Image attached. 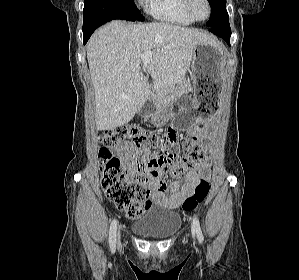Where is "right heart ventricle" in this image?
Returning a JSON list of instances; mask_svg holds the SVG:
<instances>
[{"instance_id":"1","label":"right heart ventricle","mask_w":299,"mask_h":280,"mask_svg":"<svg viewBox=\"0 0 299 280\" xmlns=\"http://www.w3.org/2000/svg\"><path fill=\"white\" fill-rule=\"evenodd\" d=\"M147 12L155 19L177 25H191L194 21L184 10L183 0H146Z\"/></svg>"}]
</instances>
